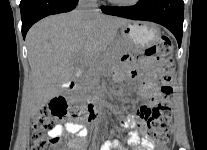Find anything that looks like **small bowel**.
<instances>
[{"label":"small bowel","instance_id":"small-bowel-1","mask_svg":"<svg viewBox=\"0 0 207 150\" xmlns=\"http://www.w3.org/2000/svg\"><path fill=\"white\" fill-rule=\"evenodd\" d=\"M154 60L152 58H145L140 62L139 67H130L128 74L132 78L139 77L142 73L145 75L144 79L138 87V93L146 98L150 104L155 103L159 97V89L156 85L154 75ZM121 75L118 76V79ZM149 106L140 107L136 114L128 115L120 120V126L125 129H132L128 136L129 145H122V140H105V145H99V150H130V145L134 150H152V144L147 143L145 139H141L140 132L145 129V122L147 120ZM51 137H65L68 139V150H86L88 140L86 129L77 121H69L64 125H57L49 131Z\"/></svg>","mask_w":207,"mask_h":150}]
</instances>
